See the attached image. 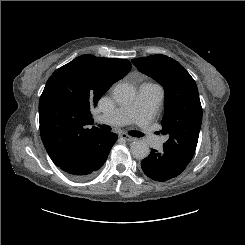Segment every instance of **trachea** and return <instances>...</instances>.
Listing matches in <instances>:
<instances>
[{
  "label": "trachea",
  "instance_id": "trachea-1",
  "mask_svg": "<svg viewBox=\"0 0 245 245\" xmlns=\"http://www.w3.org/2000/svg\"><path fill=\"white\" fill-rule=\"evenodd\" d=\"M100 129L103 131H111V127H109L107 125H101ZM129 134L131 136H134V137H142L143 136V134L141 132H138V131H130Z\"/></svg>",
  "mask_w": 245,
  "mask_h": 245
}]
</instances>
